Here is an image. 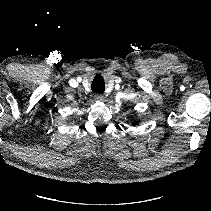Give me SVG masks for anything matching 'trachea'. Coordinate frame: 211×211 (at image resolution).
<instances>
[{"label":"trachea","mask_w":211,"mask_h":211,"mask_svg":"<svg viewBox=\"0 0 211 211\" xmlns=\"http://www.w3.org/2000/svg\"><path fill=\"white\" fill-rule=\"evenodd\" d=\"M91 89L94 93L102 94L105 90V83L101 75H97L91 85Z\"/></svg>","instance_id":"trachea-1"}]
</instances>
